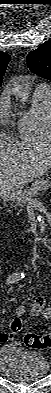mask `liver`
<instances>
[{"mask_svg": "<svg viewBox=\"0 0 51 393\" xmlns=\"http://www.w3.org/2000/svg\"><path fill=\"white\" fill-rule=\"evenodd\" d=\"M51 168L50 146H29L0 141V191L22 189Z\"/></svg>", "mask_w": 51, "mask_h": 393, "instance_id": "liver-1", "label": "liver"}]
</instances>
